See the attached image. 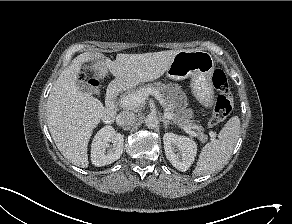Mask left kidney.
Wrapping results in <instances>:
<instances>
[{"instance_id": "left-kidney-1", "label": "left kidney", "mask_w": 292, "mask_h": 224, "mask_svg": "<svg viewBox=\"0 0 292 224\" xmlns=\"http://www.w3.org/2000/svg\"><path fill=\"white\" fill-rule=\"evenodd\" d=\"M163 142L170 163L181 172L187 171L195 160L197 144L190 138L174 133H165Z\"/></svg>"}]
</instances>
